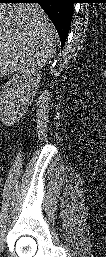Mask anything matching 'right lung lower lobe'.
Segmentation results:
<instances>
[{
  "label": "right lung lower lobe",
  "instance_id": "obj_1",
  "mask_svg": "<svg viewBox=\"0 0 106 257\" xmlns=\"http://www.w3.org/2000/svg\"><path fill=\"white\" fill-rule=\"evenodd\" d=\"M1 3H38L54 24L64 46L68 36L75 0H0Z\"/></svg>",
  "mask_w": 106,
  "mask_h": 257
}]
</instances>
